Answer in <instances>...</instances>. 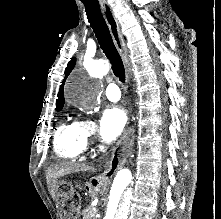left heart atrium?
I'll list each match as a JSON object with an SVG mask.
<instances>
[{
  "instance_id": "1",
  "label": "left heart atrium",
  "mask_w": 221,
  "mask_h": 219,
  "mask_svg": "<svg viewBox=\"0 0 221 219\" xmlns=\"http://www.w3.org/2000/svg\"><path fill=\"white\" fill-rule=\"evenodd\" d=\"M127 112L124 108L113 106L108 108L102 115L100 134L107 141L114 140L124 129L127 123Z\"/></svg>"
}]
</instances>
